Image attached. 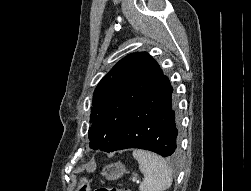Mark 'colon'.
I'll use <instances>...</instances> for the list:
<instances>
[{"label":"colon","instance_id":"1","mask_svg":"<svg viewBox=\"0 0 251 191\" xmlns=\"http://www.w3.org/2000/svg\"><path fill=\"white\" fill-rule=\"evenodd\" d=\"M96 191H122V190L115 187L104 186V187L97 188Z\"/></svg>","mask_w":251,"mask_h":191}]
</instances>
